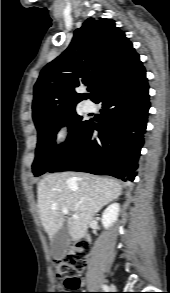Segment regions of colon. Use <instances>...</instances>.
Listing matches in <instances>:
<instances>
[{"label": "colon", "mask_w": 170, "mask_h": 293, "mask_svg": "<svg viewBox=\"0 0 170 293\" xmlns=\"http://www.w3.org/2000/svg\"><path fill=\"white\" fill-rule=\"evenodd\" d=\"M76 251L66 259H54V269L57 278L62 280L61 291H74L79 288L80 273L86 266L87 255L82 244H75ZM55 293H73V292H55Z\"/></svg>", "instance_id": "5ec220e1"}]
</instances>
